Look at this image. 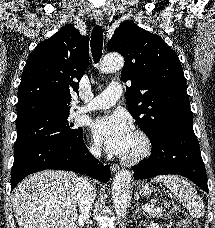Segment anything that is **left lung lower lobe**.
Instances as JSON below:
<instances>
[{"mask_svg": "<svg viewBox=\"0 0 215 228\" xmlns=\"http://www.w3.org/2000/svg\"><path fill=\"white\" fill-rule=\"evenodd\" d=\"M151 144L150 157L133 166L134 179L177 174L190 179L208 193L205 165L192 123L162 130Z\"/></svg>", "mask_w": 215, "mask_h": 228, "instance_id": "left-lung-lower-lobe-1", "label": "left lung lower lobe"}]
</instances>
